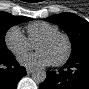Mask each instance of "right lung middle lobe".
I'll list each match as a JSON object with an SVG mask.
<instances>
[{
    "label": "right lung middle lobe",
    "instance_id": "right-lung-middle-lobe-1",
    "mask_svg": "<svg viewBox=\"0 0 89 89\" xmlns=\"http://www.w3.org/2000/svg\"><path fill=\"white\" fill-rule=\"evenodd\" d=\"M30 20H32V18L24 16H13L6 12H0V54L9 52L5 44V34L7 30L13 25Z\"/></svg>",
    "mask_w": 89,
    "mask_h": 89
}]
</instances>
